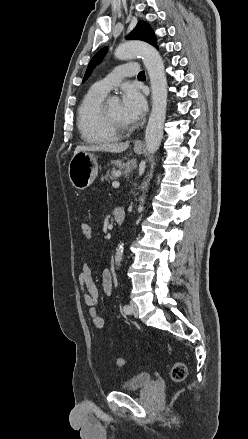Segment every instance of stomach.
Returning a JSON list of instances; mask_svg holds the SVG:
<instances>
[{"label":"stomach","mask_w":248,"mask_h":439,"mask_svg":"<svg viewBox=\"0 0 248 439\" xmlns=\"http://www.w3.org/2000/svg\"><path fill=\"white\" fill-rule=\"evenodd\" d=\"M135 153H142L141 148H135ZM69 179L78 190L89 187L98 174V163L93 153L81 151L73 155L68 167Z\"/></svg>","instance_id":"stomach-1"}]
</instances>
